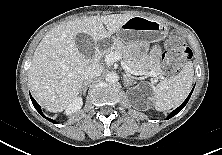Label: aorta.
I'll return each instance as SVG.
<instances>
[{
    "mask_svg": "<svg viewBox=\"0 0 222 155\" xmlns=\"http://www.w3.org/2000/svg\"><path fill=\"white\" fill-rule=\"evenodd\" d=\"M118 75L115 72H108L106 74V81L109 83H115L118 81Z\"/></svg>",
    "mask_w": 222,
    "mask_h": 155,
    "instance_id": "obj_1",
    "label": "aorta"
}]
</instances>
